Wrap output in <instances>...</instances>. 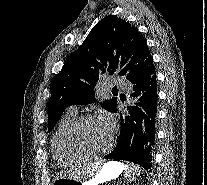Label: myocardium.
<instances>
[{
    "mask_svg": "<svg viewBox=\"0 0 207 185\" xmlns=\"http://www.w3.org/2000/svg\"><path fill=\"white\" fill-rule=\"evenodd\" d=\"M96 117L93 115H86V116H82L80 118H77L74 123L71 125L68 135H67V142L68 145L70 147V149L77 153V154H81V155H85L88 157H103L105 155L108 154L109 150L112 148V146L114 145L115 141H116V131L113 129L112 130V136H111V143L109 145V147L105 150L102 151H91L88 148H86L83 144H81V142L79 141V131L81 129V127L92 120H95Z\"/></svg>",
    "mask_w": 207,
    "mask_h": 185,
    "instance_id": "obj_1",
    "label": "myocardium"
}]
</instances>
